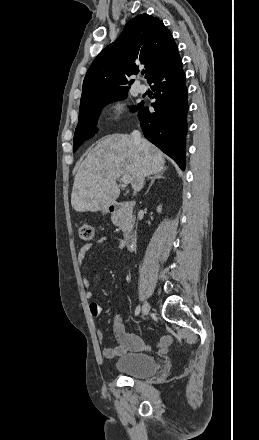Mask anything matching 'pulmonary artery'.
<instances>
[{"label": "pulmonary artery", "mask_w": 259, "mask_h": 440, "mask_svg": "<svg viewBox=\"0 0 259 440\" xmlns=\"http://www.w3.org/2000/svg\"><path fill=\"white\" fill-rule=\"evenodd\" d=\"M137 89H138V91H139L140 93H145L146 90H147V88H146V86H145L144 84H139V85L137 86Z\"/></svg>", "instance_id": "pulmonary-artery-1"}]
</instances>
